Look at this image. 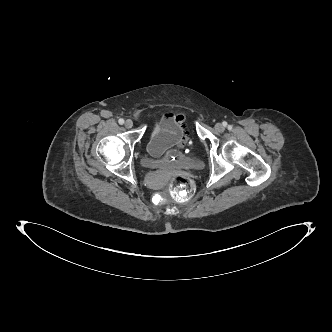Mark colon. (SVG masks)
I'll list each match as a JSON object with an SVG mask.
<instances>
[{"instance_id":"5ec220e1","label":"colon","mask_w":332,"mask_h":332,"mask_svg":"<svg viewBox=\"0 0 332 332\" xmlns=\"http://www.w3.org/2000/svg\"><path fill=\"white\" fill-rule=\"evenodd\" d=\"M187 156L191 160H196L200 156L199 143L195 139H190L186 143ZM167 192L180 200H188L195 194V183L187 175L178 174L171 177L166 186Z\"/></svg>"}]
</instances>
